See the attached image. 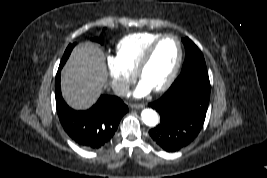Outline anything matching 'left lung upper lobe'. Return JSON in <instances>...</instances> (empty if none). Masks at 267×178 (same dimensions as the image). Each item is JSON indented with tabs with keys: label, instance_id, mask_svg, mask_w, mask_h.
<instances>
[{
	"label": "left lung upper lobe",
	"instance_id": "obj_1",
	"mask_svg": "<svg viewBox=\"0 0 267 178\" xmlns=\"http://www.w3.org/2000/svg\"><path fill=\"white\" fill-rule=\"evenodd\" d=\"M182 41L185 46L186 56L181 74L178 78L188 75L208 77L206 63L199 48L189 38H184Z\"/></svg>",
	"mask_w": 267,
	"mask_h": 178
}]
</instances>
